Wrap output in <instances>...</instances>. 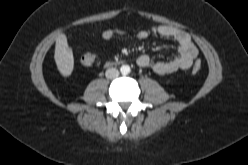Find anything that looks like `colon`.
<instances>
[{
    "instance_id": "5ec220e1",
    "label": "colon",
    "mask_w": 248,
    "mask_h": 165,
    "mask_svg": "<svg viewBox=\"0 0 248 165\" xmlns=\"http://www.w3.org/2000/svg\"><path fill=\"white\" fill-rule=\"evenodd\" d=\"M95 60V56L93 53H85L82 58L81 61L84 65H91ZM201 62L198 60L194 63L192 71L197 73L201 70Z\"/></svg>"
}]
</instances>
